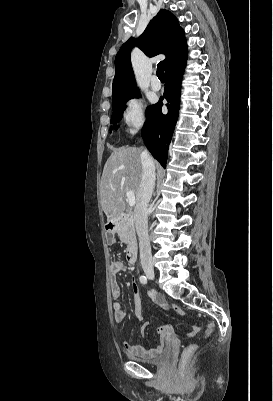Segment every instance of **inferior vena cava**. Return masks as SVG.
<instances>
[{
    "mask_svg": "<svg viewBox=\"0 0 273 401\" xmlns=\"http://www.w3.org/2000/svg\"><path fill=\"white\" fill-rule=\"evenodd\" d=\"M142 180L138 188V201L134 209V223L139 241V251L141 261L151 259V247L148 237V203L152 196L155 184V166L148 152H141Z\"/></svg>",
    "mask_w": 273,
    "mask_h": 401,
    "instance_id": "602c4592",
    "label": "inferior vena cava"
}]
</instances>
